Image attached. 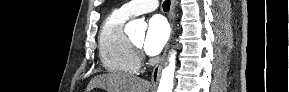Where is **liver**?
Listing matches in <instances>:
<instances>
[{
	"mask_svg": "<svg viewBox=\"0 0 289 92\" xmlns=\"http://www.w3.org/2000/svg\"><path fill=\"white\" fill-rule=\"evenodd\" d=\"M94 88L105 89L107 92H149L150 83L135 76L108 73L91 79L87 92Z\"/></svg>",
	"mask_w": 289,
	"mask_h": 92,
	"instance_id": "1",
	"label": "liver"
}]
</instances>
